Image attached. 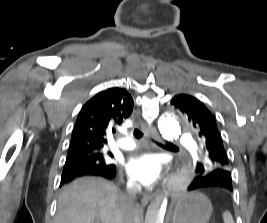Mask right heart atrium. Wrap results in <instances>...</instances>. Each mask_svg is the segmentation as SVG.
<instances>
[{
    "label": "right heart atrium",
    "mask_w": 267,
    "mask_h": 223,
    "mask_svg": "<svg viewBox=\"0 0 267 223\" xmlns=\"http://www.w3.org/2000/svg\"><path fill=\"white\" fill-rule=\"evenodd\" d=\"M127 185L131 189H134L136 187L135 183L132 180H128Z\"/></svg>",
    "instance_id": "1"
}]
</instances>
